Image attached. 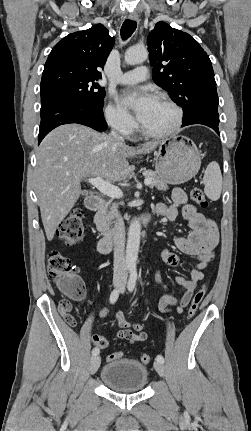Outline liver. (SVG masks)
Wrapping results in <instances>:
<instances>
[{
    "mask_svg": "<svg viewBox=\"0 0 251 431\" xmlns=\"http://www.w3.org/2000/svg\"><path fill=\"white\" fill-rule=\"evenodd\" d=\"M160 143L129 147L113 137L72 123L51 131L36 153L34 184L48 241L82 194L86 177L125 180L134 170L128 158L153 151Z\"/></svg>",
    "mask_w": 251,
    "mask_h": 431,
    "instance_id": "6515ba94",
    "label": "liver"
}]
</instances>
